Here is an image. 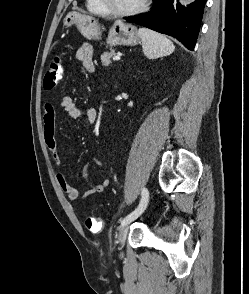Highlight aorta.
Here are the masks:
<instances>
[{"label":"aorta","instance_id":"762f6f07","mask_svg":"<svg viewBox=\"0 0 249 294\" xmlns=\"http://www.w3.org/2000/svg\"><path fill=\"white\" fill-rule=\"evenodd\" d=\"M194 0H186V2H193Z\"/></svg>","mask_w":249,"mask_h":294}]
</instances>
